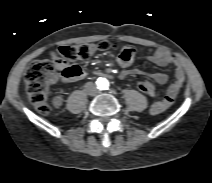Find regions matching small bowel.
Here are the masks:
<instances>
[{
    "instance_id": "c3829d8e",
    "label": "small bowel",
    "mask_w": 212,
    "mask_h": 183,
    "mask_svg": "<svg viewBox=\"0 0 212 183\" xmlns=\"http://www.w3.org/2000/svg\"><path fill=\"white\" fill-rule=\"evenodd\" d=\"M134 55H135L134 48L132 46H126L117 58L119 65L122 68H128L133 63ZM146 59L147 61L159 67H164L170 64V65H173V67L175 68V79L173 83L169 86L166 92V95L162 99L154 102L151 106V109H150L151 113L154 115H157L167 110L174 103V100L177 97L185 81V73L180 61L164 49H157L153 55L148 56ZM64 68H65V65H60L58 67V69L61 71H63ZM78 70L79 72L76 77L68 79L62 76V81L70 82V81H77V80L83 79L86 76V74L80 68H78ZM135 72L141 73L139 70H136ZM146 74L152 80H154L155 82L159 84H163L167 82L168 80L167 74L163 72H153V73H146ZM53 102L56 107H59L62 103L61 97L56 96Z\"/></svg>"
}]
</instances>
